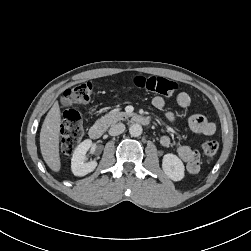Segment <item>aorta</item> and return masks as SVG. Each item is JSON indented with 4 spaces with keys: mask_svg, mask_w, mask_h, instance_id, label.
Here are the masks:
<instances>
[{
    "mask_svg": "<svg viewBox=\"0 0 251 251\" xmlns=\"http://www.w3.org/2000/svg\"><path fill=\"white\" fill-rule=\"evenodd\" d=\"M142 126L140 124H131L129 127V133L133 137H138L142 134Z\"/></svg>",
    "mask_w": 251,
    "mask_h": 251,
    "instance_id": "1",
    "label": "aorta"
}]
</instances>
